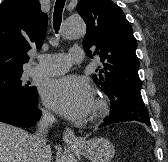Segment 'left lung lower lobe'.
Masks as SVG:
<instances>
[{
	"label": "left lung lower lobe",
	"mask_w": 168,
	"mask_h": 162,
	"mask_svg": "<svg viewBox=\"0 0 168 162\" xmlns=\"http://www.w3.org/2000/svg\"><path fill=\"white\" fill-rule=\"evenodd\" d=\"M106 95L110 98L112 111L99 128L123 121H138L147 125L151 124L148 110L142 100L140 91L121 89Z\"/></svg>",
	"instance_id": "1"
}]
</instances>
